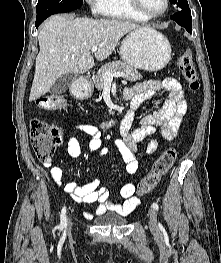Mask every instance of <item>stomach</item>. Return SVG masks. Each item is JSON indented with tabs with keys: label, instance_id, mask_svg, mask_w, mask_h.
<instances>
[{
	"label": "stomach",
	"instance_id": "obj_1",
	"mask_svg": "<svg viewBox=\"0 0 221 263\" xmlns=\"http://www.w3.org/2000/svg\"><path fill=\"white\" fill-rule=\"evenodd\" d=\"M120 56L134 69L159 71L171 59V46L168 39L154 29L134 30L121 42Z\"/></svg>",
	"mask_w": 221,
	"mask_h": 263
}]
</instances>
